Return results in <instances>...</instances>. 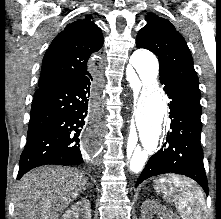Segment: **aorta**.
Wrapping results in <instances>:
<instances>
[{
    "instance_id": "762f6f07",
    "label": "aorta",
    "mask_w": 221,
    "mask_h": 219,
    "mask_svg": "<svg viewBox=\"0 0 221 219\" xmlns=\"http://www.w3.org/2000/svg\"><path fill=\"white\" fill-rule=\"evenodd\" d=\"M130 64L136 70L142 90L135 112V128L141 145L129 143L125 158V170L138 174L142 171L148 154L157 147L165 114L164 99L157 84L159 63L148 50L138 49L130 57Z\"/></svg>"
}]
</instances>
